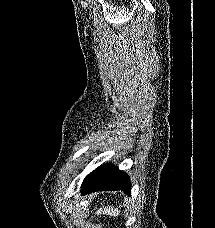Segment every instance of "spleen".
<instances>
[{"label":"spleen","mask_w":215,"mask_h":228,"mask_svg":"<svg viewBox=\"0 0 215 228\" xmlns=\"http://www.w3.org/2000/svg\"><path fill=\"white\" fill-rule=\"evenodd\" d=\"M96 214L97 216H100V214H105V216H118L120 212L117 208H112V206H103V208L96 210Z\"/></svg>","instance_id":"3e777b00"}]
</instances>
